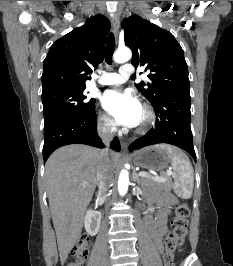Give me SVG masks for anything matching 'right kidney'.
<instances>
[{
    "label": "right kidney",
    "mask_w": 233,
    "mask_h": 266,
    "mask_svg": "<svg viewBox=\"0 0 233 266\" xmlns=\"http://www.w3.org/2000/svg\"><path fill=\"white\" fill-rule=\"evenodd\" d=\"M101 223V213L98 211L88 210L84 219V226L87 233L94 236L98 233Z\"/></svg>",
    "instance_id": "right-kidney-1"
}]
</instances>
